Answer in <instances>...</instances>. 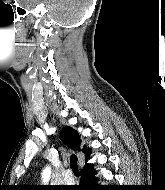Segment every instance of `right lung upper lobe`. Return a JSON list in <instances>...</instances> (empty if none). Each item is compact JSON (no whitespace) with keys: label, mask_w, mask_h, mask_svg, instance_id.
<instances>
[{"label":"right lung upper lobe","mask_w":165,"mask_h":190,"mask_svg":"<svg viewBox=\"0 0 165 190\" xmlns=\"http://www.w3.org/2000/svg\"><path fill=\"white\" fill-rule=\"evenodd\" d=\"M61 140L73 150H81V139L78 132L70 127H64L60 134ZM82 152L86 155V161L89 157L90 150L86 146L83 147ZM90 164L86 163L85 166ZM84 166V167H85Z\"/></svg>","instance_id":"right-lung-upper-lobe-1"}]
</instances>
